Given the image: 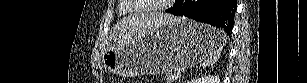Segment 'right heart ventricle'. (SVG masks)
<instances>
[{
  "label": "right heart ventricle",
  "mask_w": 307,
  "mask_h": 83,
  "mask_svg": "<svg viewBox=\"0 0 307 83\" xmlns=\"http://www.w3.org/2000/svg\"><path fill=\"white\" fill-rule=\"evenodd\" d=\"M120 11L125 14V13H131L135 10H133V8L130 5H121Z\"/></svg>",
  "instance_id": "obj_1"
}]
</instances>
